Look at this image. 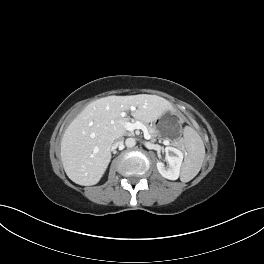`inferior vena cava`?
Here are the masks:
<instances>
[{"label": "inferior vena cava", "mask_w": 264, "mask_h": 264, "mask_svg": "<svg viewBox=\"0 0 264 264\" xmlns=\"http://www.w3.org/2000/svg\"><path fill=\"white\" fill-rule=\"evenodd\" d=\"M124 144H123V138L122 137H118L117 139H115V142L112 146V149L115 148H123Z\"/></svg>", "instance_id": "1"}]
</instances>
